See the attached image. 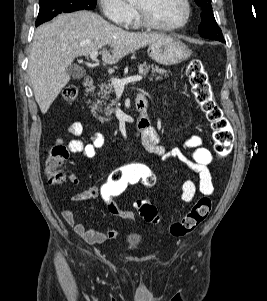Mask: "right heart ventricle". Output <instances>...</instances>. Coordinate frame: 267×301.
<instances>
[{
	"label": "right heart ventricle",
	"instance_id": "obj_1",
	"mask_svg": "<svg viewBox=\"0 0 267 301\" xmlns=\"http://www.w3.org/2000/svg\"><path fill=\"white\" fill-rule=\"evenodd\" d=\"M132 23H133V25H134L135 27H139V26L141 25V24L139 23L138 18H137L136 15L134 16V18H133V20H132Z\"/></svg>",
	"mask_w": 267,
	"mask_h": 301
}]
</instances>
